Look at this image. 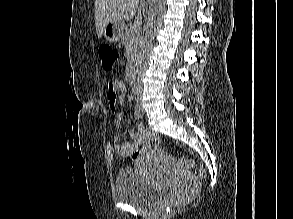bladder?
<instances>
[{
	"label": "bladder",
	"instance_id": "31cf9c89",
	"mask_svg": "<svg viewBox=\"0 0 293 219\" xmlns=\"http://www.w3.org/2000/svg\"><path fill=\"white\" fill-rule=\"evenodd\" d=\"M167 186L147 180L137 170L122 169L115 183L116 200L137 209H149L162 202Z\"/></svg>",
	"mask_w": 293,
	"mask_h": 219
}]
</instances>
